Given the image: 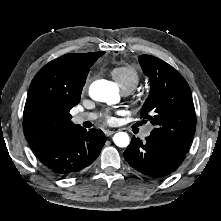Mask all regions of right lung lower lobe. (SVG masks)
Listing matches in <instances>:
<instances>
[{"label":"right lung lower lobe","instance_id":"right-lung-lower-lobe-1","mask_svg":"<svg viewBox=\"0 0 221 221\" xmlns=\"http://www.w3.org/2000/svg\"><path fill=\"white\" fill-rule=\"evenodd\" d=\"M106 137L100 130L78 126L50 146L37 158L51 173L69 177L82 172L99 156Z\"/></svg>","mask_w":221,"mask_h":221}]
</instances>
